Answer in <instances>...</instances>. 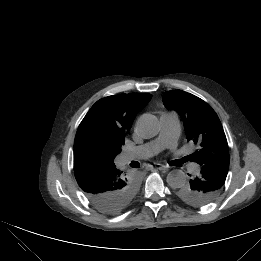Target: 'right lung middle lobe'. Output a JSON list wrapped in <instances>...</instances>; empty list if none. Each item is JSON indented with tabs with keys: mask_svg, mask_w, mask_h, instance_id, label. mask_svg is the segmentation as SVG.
Segmentation results:
<instances>
[{
	"mask_svg": "<svg viewBox=\"0 0 261 261\" xmlns=\"http://www.w3.org/2000/svg\"><path fill=\"white\" fill-rule=\"evenodd\" d=\"M123 143H116L105 147H98L94 143H88V148L91 150V161L111 163L113 162L116 155L121 152V145ZM138 185L133 182L132 185L126 191L125 201L128 204L137 192Z\"/></svg>",
	"mask_w": 261,
	"mask_h": 261,
	"instance_id": "right-lung-middle-lobe-1",
	"label": "right lung middle lobe"
}]
</instances>
